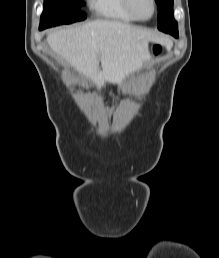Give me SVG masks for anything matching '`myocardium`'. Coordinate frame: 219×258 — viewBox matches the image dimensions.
<instances>
[{"label": "myocardium", "mask_w": 219, "mask_h": 258, "mask_svg": "<svg viewBox=\"0 0 219 258\" xmlns=\"http://www.w3.org/2000/svg\"><path fill=\"white\" fill-rule=\"evenodd\" d=\"M152 2V6H153V10H152V14L149 17L143 18L140 17L136 11L135 8L133 6V0H124L125 3V7L126 9L129 11V13L136 19V20H140V21H148L150 20L156 13L157 11V1L156 0H151Z\"/></svg>", "instance_id": "f54148a6"}]
</instances>
